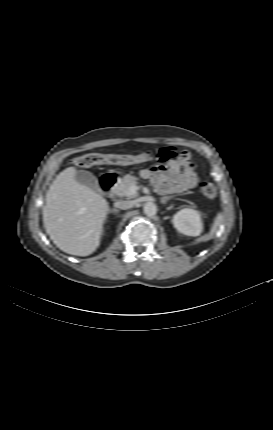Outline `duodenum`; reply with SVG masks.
Here are the masks:
<instances>
[{
	"label": "duodenum",
	"mask_w": 273,
	"mask_h": 430,
	"mask_svg": "<svg viewBox=\"0 0 273 430\" xmlns=\"http://www.w3.org/2000/svg\"><path fill=\"white\" fill-rule=\"evenodd\" d=\"M118 178L112 173L105 174L100 179V186L103 193L108 194L114 188Z\"/></svg>",
	"instance_id": "410a0bca"
}]
</instances>
